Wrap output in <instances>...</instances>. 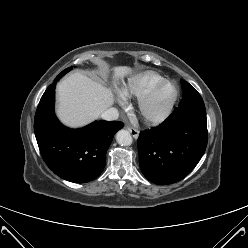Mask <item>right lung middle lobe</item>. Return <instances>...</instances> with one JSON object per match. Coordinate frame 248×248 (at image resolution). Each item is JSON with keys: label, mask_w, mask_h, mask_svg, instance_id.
<instances>
[{"label": "right lung middle lobe", "mask_w": 248, "mask_h": 248, "mask_svg": "<svg viewBox=\"0 0 248 248\" xmlns=\"http://www.w3.org/2000/svg\"><path fill=\"white\" fill-rule=\"evenodd\" d=\"M68 71H70V68H67L65 69L64 71H62L56 78L55 80L53 81V83L47 88V90L45 91V93L43 94L42 97L48 95L52 90L55 89V85H56V82L59 81V79L64 76Z\"/></svg>", "instance_id": "obj_1"}]
</instances>
